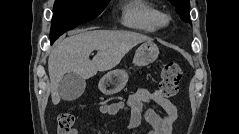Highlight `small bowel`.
Instances as JSON below:
<instances>
[{"label":"small bowel","instance_id":"1","mask_svg":"<svg viewBox=\"0 0 239 134\" xmlns=\"http://www.w3.org/2000/svg\"><path fill=\"white\" fill-rule=\"evenodd\" d=\"M153 106L159 107L162 112L156 111ZM103 115L112 116L120 111L128 114V127L136 129L146 120L151 129L148 134H172L174 124L178 118V109L169 99L164 98L159 91L139 89L130 95L126 102L113 101L104 103L99 107ZM71 134H80L74 128Z\"/></svg>","mask_w":239,"mask_h":134}]
</instances>
